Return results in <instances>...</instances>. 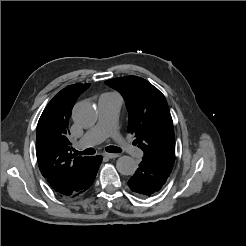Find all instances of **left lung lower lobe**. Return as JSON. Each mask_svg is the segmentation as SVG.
Segmentation results:
<instances>
[{
	"label": "left lung lower lobe",
	"mask_w": 246,
	"mask_h": 246,
	"mask_svg": "<svg viewBox=\"0 0 246 246\" xmlns=\"http://www.w3.org/2000/svg\"><path fill=\"white\" fill-rule=\"evenodd\" d=\"M170 173L151 160L143 158L139 168L129 179L128 185L137 195L148 197L160 191Z\"/></svg>",
	"instance_id": "0a47b994"
}]
</instances>
